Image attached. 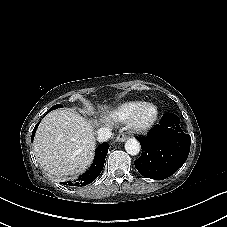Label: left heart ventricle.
<instances>
[{
    "instance_id": "b2bd125f",
    "label": "left heart ventricle",
    "mask_w": 227,
    "mask_h": 227,
    "mask_svg": "<svg viewBox=\"0 0 227 227\" xmlns=\"http://www.w3.org/2000/svg\"><path fill=\"white\" fill-rule=\"evenodd\" d=\"M151 113H152V110L149 109V110L144 111L143 115L149 116Z\"/></svg>"
}]
</instances>
